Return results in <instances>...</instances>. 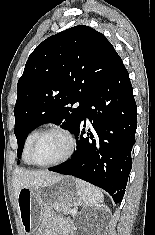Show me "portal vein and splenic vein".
<instances>
[{"mask_svg": "<svg viewBox=\"0 0 155 235\" xmlns=\"http://www.w3.org/2000/svg\"><path fill=\"white\" fill-rule=\"evenodd\" d=\"M72 214H76V210L75 209H72L71 211H70Z\"/></svg>", "mask_w": 155, "mask_h": 235, "instance_id": "obj_1", "label": "portal vein and splenic vein"}]
</instances>
